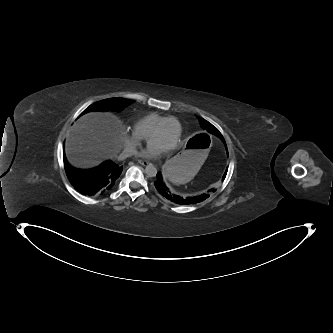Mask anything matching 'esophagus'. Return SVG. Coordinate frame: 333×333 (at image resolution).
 <instances>
[{"label":"esophagus","mask_w":333,"mask_h":333,"mask_svg":"<svg viewBox=\"0 0 333 333\" xmlns=\"http://www.w3.org/2000/svg\"><path fill=\"white\" fill-rule=\"evenodd\" d=\"M138 162H139L141 165H143V166H147V165L150 164V162L147 161V160H141V159H139Z\"/></svg>","instance_id":"34e87169"}]
</instances>
